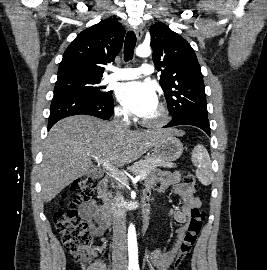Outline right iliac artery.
<instances>
[{
	"instance_id": "1",
	"label": "right iliac artery",
	"mask_w": 267,
	"mask_h": 270,
	"mask_svg": "<svg viewBox=\"0 0 267 270\" xmlns=\"http://www.w3.org/2000/svg\"><path fill=\"white\" fill-rule=\"evenodd\" d=\"M128 270H132V267L130 266Z\"/></svg>"
}]
</instances>
